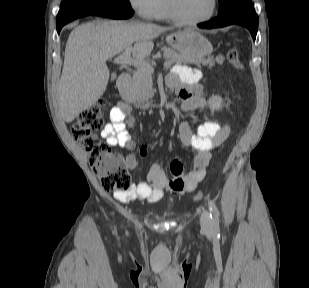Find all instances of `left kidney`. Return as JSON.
Masks as SVG:
<instances>
[{"label": "left kidney", "instance_id": "obj_1", "mask_svg": "<svg viewBox=\"0 0 309 288\" xmlns=\"http://www.w3.org/2000/svg\"><path fill=\"white\" fill-rule=\"evenodd\" d=\"M209 105L212 111L219 110L223 106V101L220 96H212L209 98Z\"/></svg>", "mask_w": 309, "mask_h": 288}]
</instances>
